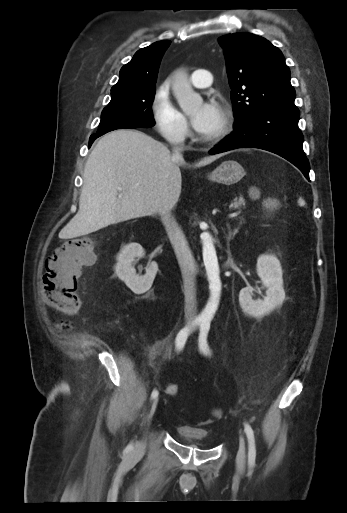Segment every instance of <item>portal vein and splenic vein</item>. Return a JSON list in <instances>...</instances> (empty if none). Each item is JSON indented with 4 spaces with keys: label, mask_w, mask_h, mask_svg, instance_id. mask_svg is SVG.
Wrapping results in <instances>:
<instances>
[{
    "label": "portal vein and splenic vein",
    "mask_w": 347,
    "mask_h": 513,
    "mask_svg": "<svg viewBox=\"0 0 347 513\" xmlns=\"http://www.w3.org/2000/svg\"><path fill=\"white\" fill-rule=\"evenodd\" d=\"M117 189H118L119 191H122V190H123V188H121V187H118ZM228 238L230 239V237H228Z\"/></svg>",
    "instance_id": "1"
}]
</instances>
